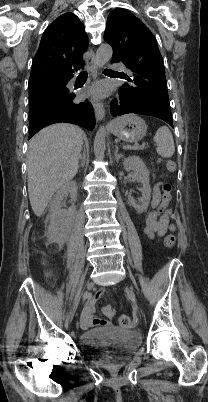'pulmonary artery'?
I'll list each match as a JSON object with an SVG mask.
<instances>
[{"mask_svg":"<svg viewBox=\"0 0 208 402\" xmlns=\"http://www.w3.org/2000/svg\"><path fill=\"white\" fill-rule=\"evenodd\" d=\"M122 68H124V66L123 65H120V64H115L114 66H113V69L118 73V74H121L122 72H123V69Z\"/></svg>","mask_w":208,"mask_h":402,"instance_id":"e3ab8cb5","label":"pulmonary artery"}]
</instances>
